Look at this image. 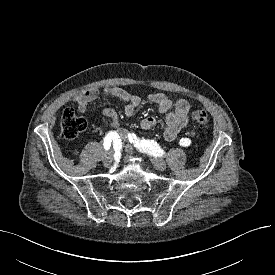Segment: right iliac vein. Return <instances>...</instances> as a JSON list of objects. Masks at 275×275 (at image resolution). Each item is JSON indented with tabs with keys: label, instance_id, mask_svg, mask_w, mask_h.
I'll use <instances>...</instances> for the list:
<instances>
[{
	"label": "right iliac vein",
	"instance_id": "obj_1",
	"mask_svg": "<svg viewBox=\"0 0 275 275\" xmlns=\"http://www.w3.org/2000/svg\"><path fill=\"white\" fill-rule=\"evenodd\" d=\"M102 161L104 163V165H110L113 161V152L109 151L107 153L104 154Z\"/></svg>",
	"mask_w": 275,
	"mask_h": 275
}]
</instances>
